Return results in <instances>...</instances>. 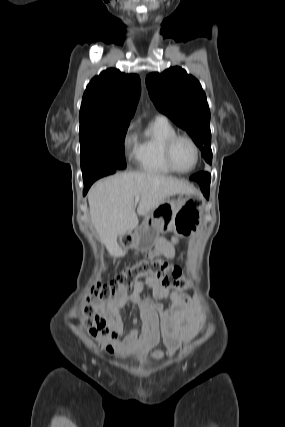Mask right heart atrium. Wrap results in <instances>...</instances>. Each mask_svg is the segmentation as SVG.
I'll list each match as a JSON object with an SVG mask.
<instances>
[{
  "label": "right heart atrium",
  "mask_w": 285,
  "mask_h": 427,
  "mask_svg": "<svg viewBox=\"0 0 285 427\" xmlns=\"http://www.w3.org/2000/svg\"><path fill=\"white\" fill-rule=\"evenodd\" d=\"M134 127H135V124L131 123L127 127V129H126V131L124 133V136H123V146H124L125 149H129L133 145V143H134V135H133Z\"/></svg>",
  "instance_id": "d8ad5b80"
}]
</instances>
